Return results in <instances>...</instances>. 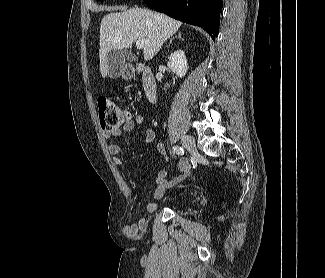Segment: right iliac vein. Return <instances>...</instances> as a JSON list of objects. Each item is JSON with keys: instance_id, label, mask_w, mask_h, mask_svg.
<instances>
[{"instance_id": "right-iliac-vein-1", "label": "right iliac vein", "mask_w": 325, "mask_h": 278, "mask_svg": "<svg viewBox=\"0 0 325 278\" xmlns=\"http://www.w3.org/2000/svg\"><path fill=\"white\" fill-rule=\"evenodd\" d=\"M181 142L189 152H191L195 156L198 155L195 139L192 136L183 134L181 137Z\"/></svg>"}]
</instances>
